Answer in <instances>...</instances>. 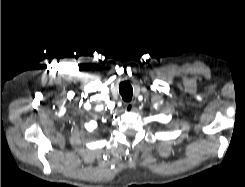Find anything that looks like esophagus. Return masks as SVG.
Wrapping results in <instances>:
<instances>
[{
	"label": "esophagus",
	"mask_w": 245,
	"mask_h": 187,
	"mask_svg": "<svg viewBox=\"0 0 245 187\" xmlns=\"http://www.w3.org/2000/svg\"><path fill=\"white\" fill-rule=\"evenodd\" d=\"M125 105V109L128 112H131L134 108V103L133 102H127L124 104Z\"/></svg>",
	"instance_id": "34e87169"
}]
</instances>
